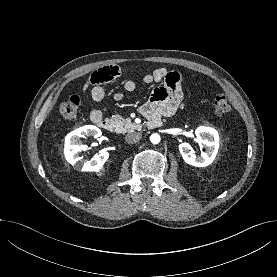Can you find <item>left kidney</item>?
I'll use <instances>...</instances> for the list:
<instances>
[{
	"mask_svg": "<svg viewBox=\"0 0 277 277\" xmlns=\"http://www.w3.org/2000/svg\"><path fill=\"white\" fill-rule=\"evenodd\" d=\"M195 134L197 142L206 146V152L201 153L200 156H196L191 152L190 144L186 142L179 145V151L187 164L195 167H206L216 157L219 148V135L214 128L205 126L198 127L195 130Z\"/></svg>",
	"mask_w": 277,
	"mask_h": 277,
	"instance_id": "left-kidney-1",
	"label": "left kidney"
}]
</instances>
